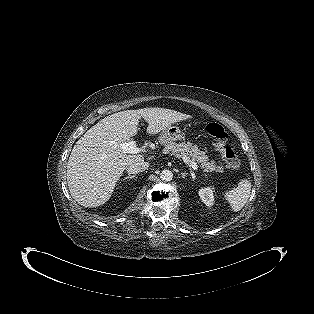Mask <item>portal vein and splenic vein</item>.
I'll return each mask as SVG.
<instances>
[{
	"instance_id": "portal-vein-and-splenic-vein-1",
	"label": "portal vein and splenic vein",
	"mask_w": 314,
	"mask_h": 314,
	"mask_svg": "<svg viewBox=\"0 0 314 314\" xmlns=\"http://www.w3.org/2000/svg\"><path fill=\"white\" fill-rule=\"evenodd\" d=\"M121 148L124 153H130V154H137L144 151L142 148L137 147L135 141L122 143ZM184 161L188 162V159L184 158ZM189 165L190 167H192L193 170H198V165L196 164V162L190 161Z\"/></svg>"
}]
</instances>
